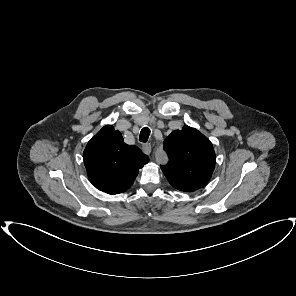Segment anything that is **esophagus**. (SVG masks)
Instances as JSON below:
<instances>
[{"label":"esophagus","instance_id":"obj_1","mask_svg":"<svg viewBox=\"0 0 296 296\" xmlns=\"http://www.w3.org/2000/svg\"><path fill=\"white\" fill-rule=\"evenodd\" d=\"M141 149L145 154H150V152H151V144L150 143H145V144L142 145Z\"/></svg>","mask_w":296,"mask_h":296}]
</instances>
